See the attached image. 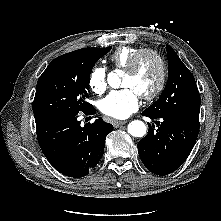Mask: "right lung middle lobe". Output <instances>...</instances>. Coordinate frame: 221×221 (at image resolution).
I'll list each match as a JSON object with an SVG mask.
<instances>
[{"instance_id":"1","label":"right lung middle lobe","mask_w":221,"mask_h":221,"mask_svg":"<svg viewBox=\"0 0 221 221\" xmlns=\"http://www.w3.org/2000/svg\"><path fill=\"white\" fill-rule=\"evenodd\" d=\"M111 48H83L54 59L37 82L35 121L90 111L93 106L86 102L90 73Z\"/></svg>"}]
</instances>
